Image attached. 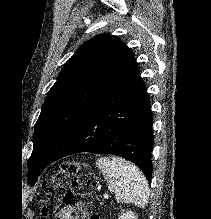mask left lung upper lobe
Returning a JSON list of instances; mask_svg holds the SVG:
<instances>
[{"mask_svg": "<svg viewBox=\"0 0 211 219\" xmlns=\"http://www.w3.org/2000/svg\"><path fill=\"white\" fill-rule=\"evenodd\" d=\"M134 62L133 52L116 36L101 34L84 43L66 62L45 99L32 154L43 149L50 157L57 155L84 115ZM42 170L31 155V185Z\"/></svg>", "mask_w": 211, "mask_h": 219, "instance_id": "1", "label": "left lung upper lobe"}]
</instances>
